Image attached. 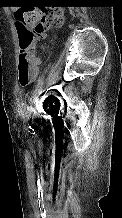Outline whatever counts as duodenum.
I'll use <instances>...</instances> for the list:
<instances>
[{
    "label": "duodenum",
    "mask_w": 122,
    "mask_h": 218,
    "mask_svg": "<svg viewBox=\"0 0 122 218\" xmlns=\"http://www.w3.org/2000/svg\"><path fill=\"white\" fill-rule=\"evenodd\" d=\"M40 63H41V62H40V60H39V64H38V66L40 65Z\"/></svg>",
    "instance_id": "1"
}]
</instances>
